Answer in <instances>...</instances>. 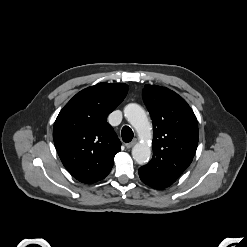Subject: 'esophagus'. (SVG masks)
I'll use <instances>...</instances> for the list:
<instances>
[{
	"instance_id": "obj_1",
	"label": "esophagus",
	"mask_w": 247,
	"mask_h": 247,
	"mask_svg": "<svg viewBox=\"0 0 247 247\" xmlns=\"http://www.w3.org/2000/svg\"><path fill=\"white\" fill-rule=\"evenodd\" d=\"M136 143H137V140L134 139L133 141H131V142L125 144V146H126L127 149H130V148H132Z\"/></svg>"
}]
</instances>
